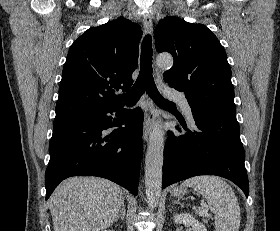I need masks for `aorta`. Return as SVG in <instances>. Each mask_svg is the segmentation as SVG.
<instances>
[{"label":"aorta","mask_w":280,"mask_h":231,"mask_svg":"<svg viewBox=\"0 0 280 231\" xmlns=\"http://www.w3.org/2000/svg\"><path fill=\"white\" fill-rule=\"evenodd\" d=\"M156 64L159 68H171L173 58L170 54H160L156 58ZM159 123L160 121L155 123L150 133L145 159V189L150 207H157L162 189L164 131Z\"/></svg>","instance_id":"aorta-1"}]
</instances>
